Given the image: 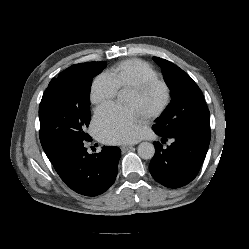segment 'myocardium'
<instances>
[{
  "label": "myocardium",
  "mask_w": 249,
  "mask_h": 249,
  "mask_svg": "<svg viewBox=\"0 0 249 249\" xmlns=\"http://www.w3.org/2000/svg\"><path fill=\"white\" fill-rule=\"evenodd\" d=\"M155 85H159L162 87V89L164 91V98H163L161 105L155 111H153L151 114H149L146 117L147 120H153V119L158 118L168 108V106L171 102V88H170L169 84L163 79L152 78V79L144 80V81L132 86L131 88H129L130 91H132L138 95H141V94L145 93L149 88H151Z\"/></svg>",
  "instance_id": "obj_1"
}]
</instances>
